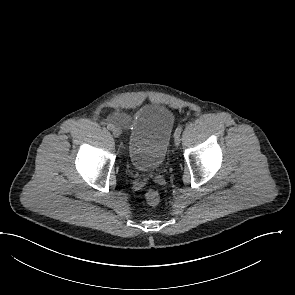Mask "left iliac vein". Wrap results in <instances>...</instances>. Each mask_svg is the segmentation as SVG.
Here are the masks:
<instances>
[{
  "label": "left iliac vein",
  "mask_w": 295,
  "mask_h": 295,
  "mask_svg": "<svg viewBox=\"0 0 295 295\" xmlns=\"http://www.w3.org/2000/svg\"><path fill=\"white\" fill-rule=\"evenodd\" d=\"M174 143L176 146L179 145V143H180V136L179 135H174Z\"/></svg>",
  "instance_id": "obj_1"
}]
</instances>
